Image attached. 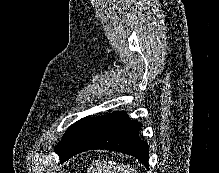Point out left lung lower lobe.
<instances>
[{"mask_svg":"<svg viewBox=\"0 0 219 173\" xmlns=\"http://www.w3.org/2000/svg\"><path fill=\"white\" fill-rule=\"evenodd\" d=\"M141 125L123 111L93 117L73 146L60 157V162L83 151L105 149L129 154L148 166V145L139 138Z\"/></svg>","mask_w":219,"mask_h":173,"instance_id":"1","label":"left lung lower lobe"}]
</instances>
